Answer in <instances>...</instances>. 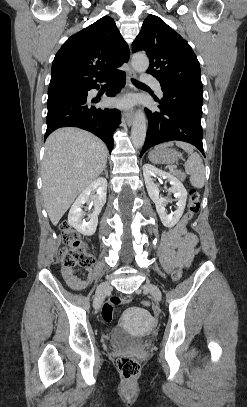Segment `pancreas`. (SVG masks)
Returning <instances> with one entry per match:
<instances>
[{"label": "pancreas", "instance_id": "cf45deb5", "mask_svg": "<svg viewBox=\"0 0 247 407\" xmlns=\"http://www.w3.org/2000/svg\"><path fill=\"white\" fill-rule=\"evenodd\" d=\"M173 173H174L178 178H180L181 180H184V179H185V174H184V173H182V172H180V171H173Z\"/></svg>", "mask_w": 247, "mask_h": 407}]
</instances>
